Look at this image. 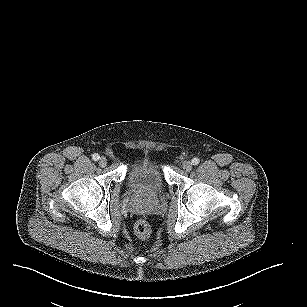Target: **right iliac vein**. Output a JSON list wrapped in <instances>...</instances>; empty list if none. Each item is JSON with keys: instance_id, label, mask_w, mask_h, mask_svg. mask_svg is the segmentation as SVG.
<instances>
[{"instance_id": "1", "label": "right iliac vein", "mask_w": 307, "mask_h": 307, "mask_svg": "<svg viewBox=\"0 0 307 307\" xmlns=\"http://www.w3.org/2000/svg\"><path fill=\"white\" fill-rule=\"evenodd\" d=\"M99 165H100L101 167H105V166L107 165V159L104 158V157L100 158V160H99Z\"/></svg>"}]
</instances>
